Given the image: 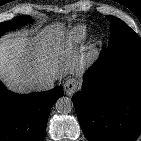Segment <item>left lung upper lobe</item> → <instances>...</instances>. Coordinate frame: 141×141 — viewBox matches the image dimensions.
<instances>
[{
    "label": "left lung upper lobe",
    "mask_w": 141,
    "mask_h": 141,
    "mask_svg": "<svg viewBox=\"0 0 141 141\" xmlns=\"http://www.w3.org/2000/svg\"><path fill=\"white\" fill-rule=\"evenodd\" d=\"M111 26V41L108 47L113 46H141V38L122 20L107 16Z\"/></svg>",
    "instance_id": "obj_1"
}]
</instances>
